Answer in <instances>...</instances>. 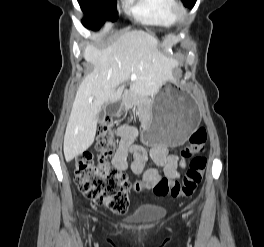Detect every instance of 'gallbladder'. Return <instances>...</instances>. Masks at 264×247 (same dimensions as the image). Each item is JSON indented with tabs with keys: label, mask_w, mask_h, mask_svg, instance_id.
Instances as JSON below:
<instances>
[{
	"label": "gallbladder",
	"mask_w": 264,
	"mask_h": 247,
	"mask_svg": "<svg viewBox=\"0 0 264 247\" xmlns=\"http://www.w3.org/2000/svg\"><path fill=\"white\" fill-rule=\"evenodd\" d=\"M105 112H106V111H105L104 109H101V111H99V114H98L99 116H98V118H100V119H98V120H99L98 123H99V122H103L102 119L105 118Z\"/></svg>",
	"instance_id": "gallbladder-1"
}]
</instances>
